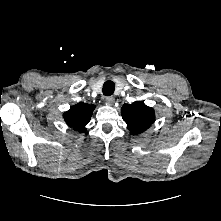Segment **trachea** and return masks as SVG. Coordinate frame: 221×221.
Returning a JSON list of instances; mask_svg holds the SVG:
<instances>
[{
  "label": "trachea",
  "instance_id": "1",
  "mask_svg": "<svg viewBox=\"0 0 221 221\" xmlns=\"http://www.w3.org/2000/svg\"><path fill=\"white\" fill-rule=\"evenodd\" d=\"M115 83L113 81H106L103 84V94L106 96H110L114 93Z\"/></svg>",
  "mask_w": 221,
  "mask_h": 221
}]
</instances>
